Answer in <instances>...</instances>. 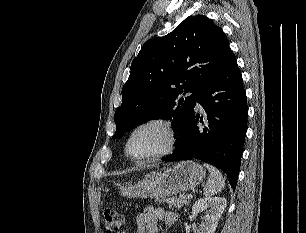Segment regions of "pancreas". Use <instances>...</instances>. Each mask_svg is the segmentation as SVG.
<instances>
[{
    "mask_svg": "<svg viewBox=\"0 0 306 233\" xmlns=\"http://www.w3.org/2000/svg\"><path fill=\"white\" fill-rule=\"evenodd\" d=\"M162 201L166 202L169 207H175L177 209H180L183 205H188L190 203V199H188L187 196L184 194L171 198H166Z\"/></svg>",
    "mask_w": 306,
    "mask_h": 233,
    "instance_id": "1",
    "label": "pancreas"
}]
</instances>
